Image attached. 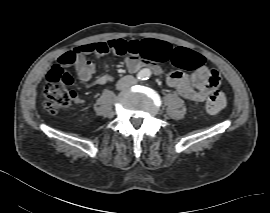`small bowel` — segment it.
<instances>
[{"instance_id": "c3829d8e", "label": "small bowel", "mask_w": 270, "mask_h": 213, "mask_svg": "<svg viewBox=\"0 0 270 213\" xmlns=\"http://www.w3.org/2000/svg\"><path fill=\"white\" fill-rule=\"evenodd\" d=\"M141 46L153 45L154 50L150 51L144 59L128 57L125 60L127 68L136 72L143 66H150L156 74L160 69L156 62H173L177 69L170 72L166 77L167 84L177 90L182 96L193 101H202L219 84V75L216 71L206 67L196 69L187 78L182 72L190 61V51L186 48H176L171 44L157 40L149 39L139 42ZM78 54L74 63V69L78 79L85 84L106 85L111 82L107 75L93 79L96 71V61L88 60L86 57L95 54L98 58L105 54V42L82 43L77 47Z\"/></svg>"}]
</instances>
